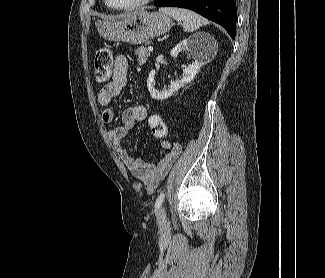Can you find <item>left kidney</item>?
Instances as JSON below:
<instances>
[{"label": "left kidney", "instance_id": "1", "mask_svg": "<svg viewBox=\"0 0 325 278\" xmlns=\"http://www.w3.org/2000/svg\"><path fill=\"white\" fill-rule=\"evenodd\" d=\"M181 51L190 52L195 62L183 69L181 79L171 81L170 86L164 88L162 91L157 90L155 87L156 72L155 70H152L147 80V87L153 99L165 100L177 93L180 88L184 87L194 79L201 67L206 63L207 54L204 49L202 36L195 35L181 41L171 50V55L175 58Z\"/></svg>", "mask_w": 325, "mask_h": 278}]
</instances>
